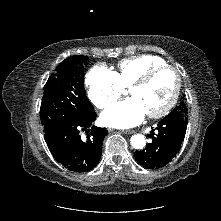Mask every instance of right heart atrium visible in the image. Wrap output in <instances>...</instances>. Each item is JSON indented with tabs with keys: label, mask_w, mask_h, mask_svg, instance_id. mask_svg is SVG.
Returning <instances> with one entry per match:
<instances>
[{
	"label": "right heart atrium",
	"mask_w": 221,
	"mask_h": 221,
	"mask_svg": "<svg viewBox=\"0 0 221 221\" xmlns=\"http://www.w3.org/2000/svg\"><path fill=\"white\" fill-rule=\"evenodd\" d=\"M88 97L100 109L116 101L123 92L115 73L102 65H95L86 75Z\"/></svg>",
	"instance_id": "right-heart-atrium-1"
}]
</instances>
